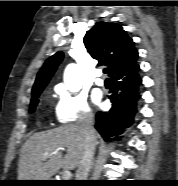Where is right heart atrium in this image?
<instances>
[{
    "mask_svg": "<svg viewBox=\"0 0 178 186\" xmlns=\"http://www.w3.org/2000/svg\"><path fill=\"white\" fill-rule=\"evenodd\" d=\"M58 103L56 107L57 119L62 122H76L90 120L93 117L86 94L69 92L64 88L56 89Z\"/></svg>",
    "mask_w": 178,
    "mask_h": 186,
    "instance_id": "1",
    "label": "right heart atrium"
}]
</instances>
